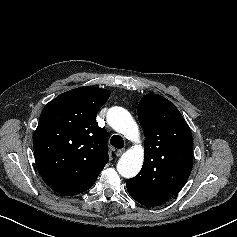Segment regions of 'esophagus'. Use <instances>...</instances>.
Segmentation results:
<instances>
[{
  "mask_svg": "<svg viewBox=\"0 0 237 237\" xmlns=\"http://www.w3.org/2000/svg\"><path fill=\"white\" fill-rule=\"evenodd\" d=\"M124 152H125V149L117 150L116 156L119 157V156H121Z\"/></svg>",
  "mask_w": 237,
  "mask_h": 237,
  "instance_id": "1",
  "label": "esophagus"
}]
</instances>
